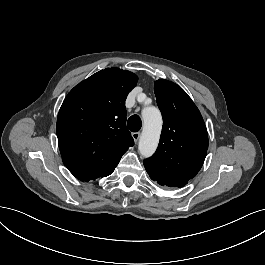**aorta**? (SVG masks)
Returning <instances> with one entry per match:
<instances>
[{
  "mask_svg": "<svg viewBox=\"0 0 265 265\" xmlns=\"http://www.w3.org/2000/svg\"><path fill=\"white\" fill-rule=\"evenodd\" d=\"M143 129L141 132L138 150L140 154L148 158L157 149L161 131V113L154 106L145 107L142 110Z\"/></svg>",
  "mask_w": 265,
  "mask_h": 265,
  "instance_id": "1",
  "label": "aorta"
}]
</instances>
